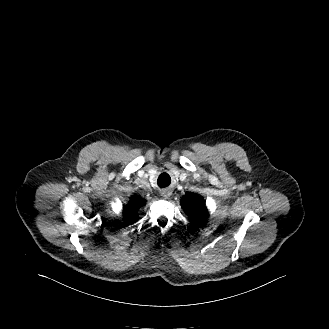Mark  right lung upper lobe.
<instances>
[{
  "label": "right lung upper lobe",
  "mask_w": 329,
  "mask_h": 329,
  "mask_svg": "<svg viewBox=\"0 0 329 329\" xmlns=\"http://www.w3.org/2000/svg\"><path fill=\"white\" fill-rule=\"evenodd\" d=\"M145 200L139 196H133L129 204L124 205L123 210L125 213V219L128 224L135 222L137 218L138 210L141 206L145 205Z\"/></svg>",
  "instance_id": "1"
}]
</instances>
